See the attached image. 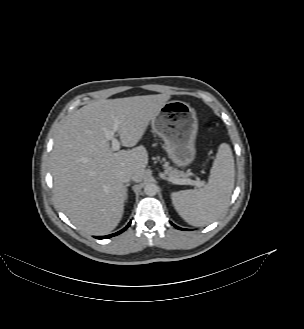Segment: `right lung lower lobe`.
<instances>
[{"instance_id":"right-lung-lower-lobe-1","label":"right lung lower lobe","mask_w":304,"mask_h":329,"mask_svg":"<svg viewBox=\"0 0 304 329\" xmlns=\"http://www.w3.org/2000/svg\"><path fill=\"white\" fill-rule=\"evenodd\" d=\"M130 224H131V222L124 229L120 230L117 233L110 234V235H107V236H96L95 238H97V239H106V238H110V237L116 236V235L122 233L123 231H125L130 226Z\"/></svg>"}]
</instances>
